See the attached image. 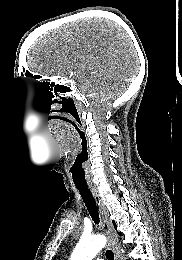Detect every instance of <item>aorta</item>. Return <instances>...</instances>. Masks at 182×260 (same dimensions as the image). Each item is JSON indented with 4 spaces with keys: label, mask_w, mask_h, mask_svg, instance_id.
<instances>
[{
    "label": "aorta",
    "mask_w": 182,
    "mask_h": 260,
    "mask_svg": "<svg viewBox=\"0 0 182 260\" xmlns=\"http://www.w3.org/2000/svg\"><path fill=\"white\" fill-rule=\"evenodd\" d=\"M106 244V238L102 235L82 237L76 245L70 260H93Z\"/></svg>",
    "instance_id": "762f6f07"
}]
</instances>
